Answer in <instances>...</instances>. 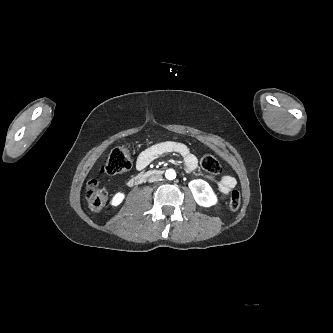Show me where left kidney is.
Wrapping results in <instances>:
<instances>
[{
  "label": "left kidney",
  "instance_id": "1",
  "mask_svg": "<svg viewBox=\"0 0 333 333\" xmlns=\"http://www.w3.org/2000/svg\"><path fill=\"white\" fill-rule=\"evenodd\" d=\"M188 186L197 204L204 207H210L216 204L217 197L206 181L202 179L192 180L189 182Z\"/></svg>",
  "mask_w": 333,
  "mask_h": 333
}]
</instances>
